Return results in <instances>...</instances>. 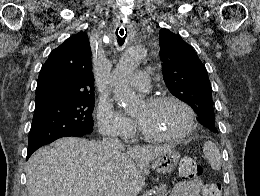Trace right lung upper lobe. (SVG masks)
I'll return each mask as SVG.
<instances>
[{"mask_svg": "<svg viewBox=\"0 0 260 196\" xmlns=\"http://www.w3.org/2000/svg\"><path fill=\"white\" fill-rule=\"evenodd\" d=\"M81 93H94L91 49L85 32L68 38L51 52L39 73L36 106Z\"/></svg>", "mask_w": 260, "mask_h": 196, "instance_id": "cb5924a9", "label": "right lung upper lobe"}]
</instances>
